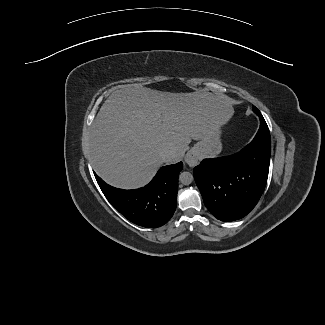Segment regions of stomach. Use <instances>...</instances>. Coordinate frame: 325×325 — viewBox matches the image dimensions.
I'll return each instance as SVG.
<instances>
[{
  "label": "stomach",
  "instance_id": "stomach-1",
  "mask_svg": "<svg viewBox=\"0 0 325 325\" xmlns=\"http://www.w3.org/2000/svg\"><path fill=\"white\" fill-rule=\"evenodd\" d=\"M220 131L207 132L195 145L194 150L200 156H215L221 152Z\"/></svg>",
  "mask_w": 325,
  "mask_h": 325
}]
</instances>
